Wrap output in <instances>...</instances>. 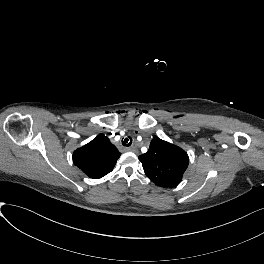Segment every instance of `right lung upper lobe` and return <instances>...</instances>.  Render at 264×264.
Instances as JSON below:
<instances>
[{
    "label": "right lung upper lobe",
    "mask_w": 264,
    "mask_h": 264,
    "mask_svg": "<svg viewBox=\"0 0 264 264\" xmlns=\"http://www.w3.org/2000/svg\"><path fill=\"white\" fill-rule=\"evenodd\" d=\"M119 151L103 134L77 149L73 153L74 164L88 177L99 179L113 170Z\"/></svg>",
    "instance_id": "1"
}]
</instances>
